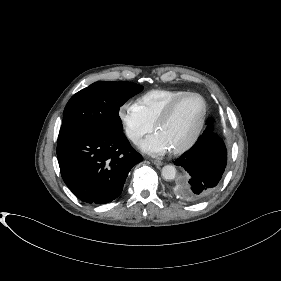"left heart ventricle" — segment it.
I'll return each mask as SVG.
<instances>
[{
    "label": "left heart ventricle",
    "instance_id": "left-heart-ventricle-1",
    "mask_svg": "<svg viewBox=\"0 0 281 281\" xmlns=\"http://www.w3.org/2000/svg\"><path fill=\"white\" fill-rule=\"evenodd\" d=\"M202 102L191 96L181 101L171 116L158 128L157 134L169 150L186 143L194 134L202 116Z\"/></svg>",
    "mask_w": 281,
    "mask_h": 281
}]
</instances>
